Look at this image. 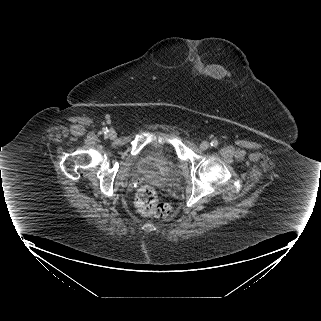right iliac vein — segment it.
I'll return each instance as SVG.
<instances>
[{
  "mask_svg": "<svg viewBox=\"0 0 321 321\" xmlns=\"http://www.w3.org/2000/svg\"><path fill=\"white\" fill-rule=\"evenodd\" d=\"M108 135H109L110 138H115L117 134H116V132L114 130H110L108 132Z\"/></svg>",
  "mask_w": 321,
  "mask_h": 321,
  "instance_id": "right-iliac-vein-1",
  "label": "right iliac vein"
}]
</instances>
